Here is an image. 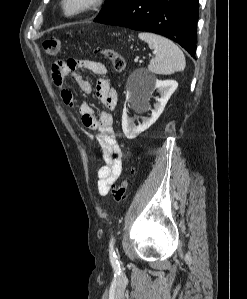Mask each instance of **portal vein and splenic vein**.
Listing matches in <instances>:
<instances>
[{
    "mask_svg": "<svg viewBox=\"0 0 247 299\" xmlns=\"http://www.w3.org/2000/svg\"><path fill=\"white\" fill-rule=\"evenodd\" d=\"M138 61V59H135V62H137Z\"/></svg>",
    "mask_w": 247,
    "mask_h": 299,
    "instance_id": "1",
    "label": "portal vein and splenic vein"
}]
</instances>
